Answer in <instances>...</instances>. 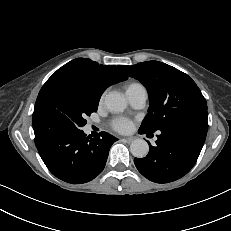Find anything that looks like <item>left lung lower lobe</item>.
Instances as JSON below:
<instances>
[{"instance_id": "0a47b994", "label": "left lung lower lobe", "mask_w": 231, "mask_h": 231, "mask_svg": "<svg viewBox=\"0 0 231 231\" xmlns=\"http://www.w3.org/2000/svg\"><path fill=\"white\" fill-rule=\"evenodd\" d=\"M208 122L188 119L160 129L156 146L149 143L145 158H135L138 171L156 183H168L186 175L196 163L206 139ZM139 133L152 134L139 128Z\"/></svg>"}]
</instances>
